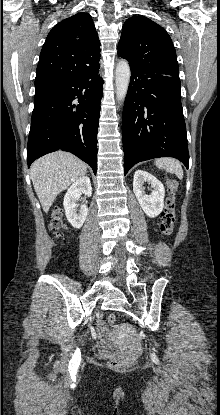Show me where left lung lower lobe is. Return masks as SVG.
<instances>
[{"mask_svg": "<svg viewBox=\"0 0 220 415\" xmlns=\"http://www.w3.org/2000/svg\"><path fill=\"white\" fill-rule=\"evenodd\" d=\"M122 116L125 174L136 163L174 157L189 165L179 76L130 67Z\"/></svg>", "mask_w": 220, "mask_h": 415, "instance_id": "obj_1", "label": "left lung lower lobe"}]
</instances>
